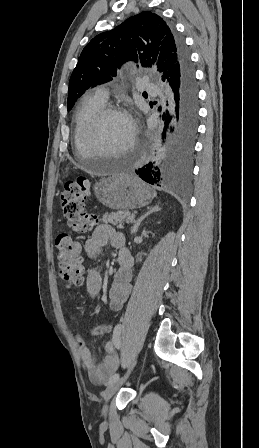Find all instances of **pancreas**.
Returning <instances> with one entry per match:
<instances>
[{
	"mask_svg": "<svg viewBox=\"0 0 259 448\" xmlns=\"http://www.w3.org/2000/svg\"><path fill=\"white\" fill-rule=\"evenodd\" d=\"M131 217L135 216L134 214H131V212H128V210H126V212H121V210H119V212H111V214H104V216H102L101 222H104V224H107V222H109V224H113V226H117V228H123L124 222H126V224H129L127 221Z\"/></svg>",
	"mask_w": 259,
	"mask_h": 448,
	"instance_id": "pancreas-1",
	"label": "pancreas"
}]
</instances>
